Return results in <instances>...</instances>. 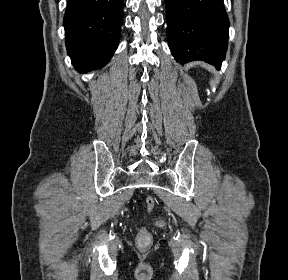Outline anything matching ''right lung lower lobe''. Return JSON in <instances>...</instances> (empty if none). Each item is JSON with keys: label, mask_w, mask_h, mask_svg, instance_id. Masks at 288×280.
Instances as JSON below:
<instances>
[{"label": "right lung lower lobe", "mask_w": 288, "mask_h": 280, "mask_svg": "<svg viewBox=\"0 0 288 280\" xmlns=\"http://www.w3.org/2000/svg\"><path fill=\"white\" fill-rule=\"evenodd\" d=\"M124 0H68L65 41L80 73L106 65L119 44Z\"/></svg>", "instance_id": "obj_1"}]
</instances>
